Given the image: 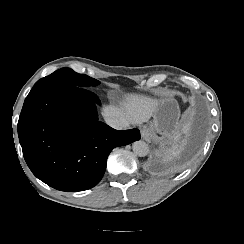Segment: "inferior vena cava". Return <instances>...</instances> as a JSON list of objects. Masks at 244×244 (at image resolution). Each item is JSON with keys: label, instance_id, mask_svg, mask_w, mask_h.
<instances>
[{"label": "inferior vena cava", "instance_id": "obj_1", "mask_svg": "<svg viewBox=\"0 0 244 244\" xmlns=\"http://www.w3.org/2000/svg\"><path fill=\"white\" fill-rule=\"evenodd\" d=\"M104 120L106 124L118 130L128 129L130 126V122L126 119H119L117 117L105 116Z\"/></svg>", "mask_w": 244, "mask_h": 244}]
</instances>
